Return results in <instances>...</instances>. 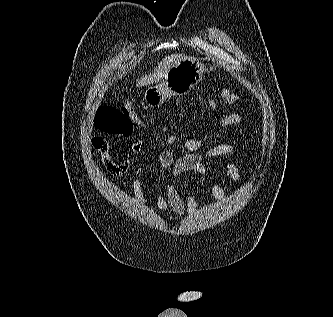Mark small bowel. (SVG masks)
Segmentation results:
<instances>
[{
	"label": "small bowel",
	"instance_id": "obj_1",
	"mask_svg": "<svg viewBox=\"0 0 333 317\" xmlns=\"http://www.w3.org/2000/svg\"><path fill=\"white\" fill-rule=\"evenodd\" d=\"M243 122V118L239 113L232 112L223 116L217 125L218 130L227 127L237 126ZM92 146L99 153L101 161L108 172L113 175H123L129 169V160H114L110 155V145L102 136H95L91 140ZM205 142L202 139L187 138L184 141V146L187 153L178 159H175L169 150H162L158 155V163L161 171H171L173 179L182 174H198L205 178L209 183L211 194L217 202H222L224 199V190L210 175L208 168L204 163V155L201 152ZM143 143L134 141L129 148L131 153H139L142 150ZM239 154L237 146L229 143H221L210 146L205 155L209 158L220 159L224 170L228 177L235 183H239L241 175L238 167L225 160L226 157ZM147 170L146 166H139L134 170L131 178L132 188L135 197L138 201H144L143 189L140 177ZM174 180L167 186L166 191H157V206L163 214L172 212L177 216L184 214L193 215L197 210L196 197L192 192H188L183 197L175 186Z\"/></svg>",
	"mask_w": 333,
	"mask_h": 317
}]
</instances>
